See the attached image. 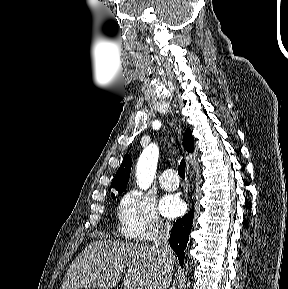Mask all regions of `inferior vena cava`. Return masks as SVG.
I'll return each mask as SVG.
<instances>
[{
    "label": "inferior vena cava",
    "instance_id": "602c4592",
    "mask_svg": "<svg viewBox=\"0 0 288 289\" xmlns=\"http://www.w3.org/2000/svg\"><path fill=\"white\" fill-rule=\"evenodd\" d=\"M170 225L165 224L162 225L159 231V234L155 240V245L153 249L161 258L164 268H165V276L168 277L171 274V269L173 265L172 257L173 252L169 246V234H170Z\"/></svg>",
    "mask_w": 288,
    "mask_h": 289
}]
</instances>
